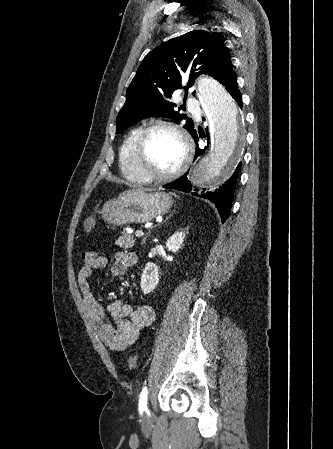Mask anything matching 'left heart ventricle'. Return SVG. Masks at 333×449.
I'll return each mask as SVG.
<instances>
[{
  "instance_id": "b2bd125f",
  "label": "left heart ventricle",
  "mask_w": 333,
  "mask_h": 449,
  "mask_svg": "<svg viewBox=\"0 0 333 449\" xmlns=\"http://www.w3.org/2000/svg\"><path fill=\"white\" fill-rule=\"evenodd\" d=\"M183 156V146L176 135L156 130L146 143L143 165L154 174H166L178 167Z\"/></svg>"
}]
</instances>
